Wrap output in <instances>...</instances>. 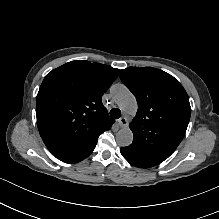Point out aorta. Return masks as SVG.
<instances>
[{"mask_svg":"<svg viewBox=\"0 0 219 219\" xmlns=\"http://www.w3.org/2000/svg\"><path fill=\"white\" fill-rule=\"evenodd\" d=\"M111 93L119 106L125 112L135 113L137 111V102L133 94L122 84H115L111 87ZM133 141V133L129 127L120 129L116 134L118 145L126 147Z\"/></svg>","mask_w":219,"mask_h":219,"instance_id":"1","label":"aorta"}]
</instances>
